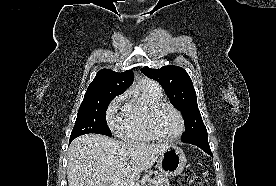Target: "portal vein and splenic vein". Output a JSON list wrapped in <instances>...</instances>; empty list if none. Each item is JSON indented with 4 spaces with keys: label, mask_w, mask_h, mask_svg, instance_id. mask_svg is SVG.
<instances>
[{
    "label": "portal vein and splenic vein",
    "mask_w": 276,
    "mask_h": 186,
    "mask_svg": "<svg viewBox=\"0 0 276 186\" xmlns=\"http://www.w3.org/2000/svg\"><path fill=\"white\" fill-rule=\"evenodd\" d=\"M111 186H140L139 183L134 181H121L120 179L111 180Z\"/></svg>",
    "instance_id": "18ae733b"
}]
</instances>
